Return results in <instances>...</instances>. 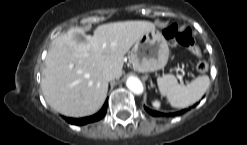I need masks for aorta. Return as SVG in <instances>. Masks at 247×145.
Segmentation results:
<instances>
[{
  "label": "aorta",
  "instance_id": "762f6f07",
  "mask_svg": "<svg viewBox=\"0 0 247 145\" xmlns=\"http://www.w3.org/2000/svg\"><path fill=\"white\" fill-rule=\"evenodd\" d=\"M126 85L128 89L132 91L134 94L139 95L142 94L143 92V84L140 81V79L137 77L130 76L126 81Z\"/></svg>",
  "mask_w": 247,
  "mask_h": 145
}]
</instances>
